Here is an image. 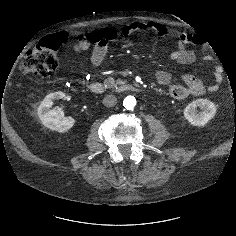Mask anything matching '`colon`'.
Masks as SVG:
<instances>
[{
  "instance_id": "5ec220e1",
  "label": "colon",
  "mask_w": 236,
  "mask_h": 236,
  "mask_svg": "<svg viewBox=\"0 0 236 236\" xmlns=\"http://www.w3.org/2000/svg\"><path fill=\"white\" fill-rule=\"evenodd\" d=\"M91 43L97 44L101 41L109 42L116 36L115 31L103 29L93 31L86 35ZM63 41L57 35L46 37L33 50H31L21 63V71L36 76H49L59 66L58 49Z\"/></svg>"
}]
</instances>
